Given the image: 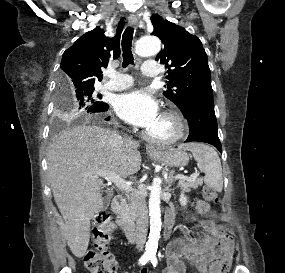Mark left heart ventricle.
<instances>
[{
  "instance_id": "1",
  "label": "left heart ventricle",
  "mask_w": 285,
  "mask_h": 273,
  "mask_svg": "<svg viewBox=\"0 0 285 273\" xmlns=\"http://www.w3.org/2000/svg\"><path fill=\"white\" fill-rule=\"evenodd\" d=\"M147 131L155 137L165 138L173 134L174 125L170 120L160 116L158 121Z\"/></svg>"
}]
</instances>
